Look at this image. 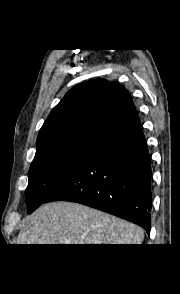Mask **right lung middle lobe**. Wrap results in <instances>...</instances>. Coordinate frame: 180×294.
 Listing matches in <instances>:
<instances>
[{
	"mask_svg": "<svg viewBox=\"0 0 180 294\" xmlns=\"http://www.w3.org/2000/svg\"><path fill=\"white\" fill-rule=\"evenodd\" d=\"M99 141L74 139L36 153L26 189L28 213L45 203L52 192L80 166Z\"/></svg>",
	"mask_w": 180,
	"mask_h": 294,
	"instance_id": "right-lung-middle-lobe-1",
	"label": "right lung middle lobe"
}]
</instances>
